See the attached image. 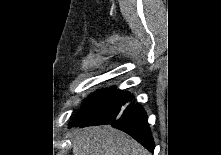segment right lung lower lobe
Returning <instances> with one entry per match:
<instances>
[{
  "instance_id": "obj_1",
  "label": "right lung lower lobe",
  "mask_w": 221,
  "mask_h": 155,
  "mask_svg": "<svg viewBox=\"0 0 221 155\" xmlns=\"http://www.w3.org/2000/svg\"><path fill=\"white\" fill-rule=\"evenodd\" d=\"M131 100L129 92L107 88L94 111L78 126L110 124L126 132L153 152L154 141L147 115L140 105H134Z\"/></svg>"
}]
</instances>
